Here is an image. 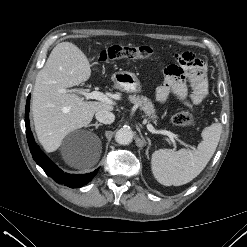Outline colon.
I'll list each match as a JSON object with an SVG mask.
<instances>
[{"instance_id":"obj_1","label":"colon","mask_w":247,"mask_h":247,"mask_svg":"<svg viewBox=\"0 0 247 247\" xmlns=\"http://www.w3.org/2000/svg\"><path fill=\"white\" fill-rule=\"evenodd\" d=\"M154 54V49L149 46L113 45L101 53L100 59L106 61L122 58H152ZM172 122L178 126L190 127L196 123V119L191 112L182 110L173 114Z\"/></svg>"}]
</instances>
